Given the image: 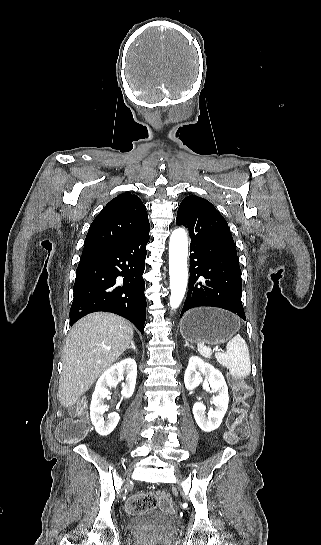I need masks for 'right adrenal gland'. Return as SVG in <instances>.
I'll return each mask as SVG.
<instances>
[{
    "label": "right adrenal gland",
    "instance_id": "1",
    "mask_svg": "<svg viewBox=\"0 0 321 545\" xmlns=\"http://www.w3.org/2000/svg\"><path fill=\"white\" fill-rule=\"evenodd\" d=\"M127 349H133V351H136V347L134 345V341H132V343H130V347H127Z\"/></svg>",
    "mask_w": 321,
    "mask_h": 545
}]
</instances>
